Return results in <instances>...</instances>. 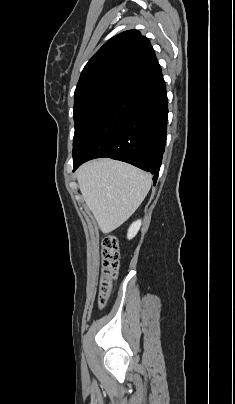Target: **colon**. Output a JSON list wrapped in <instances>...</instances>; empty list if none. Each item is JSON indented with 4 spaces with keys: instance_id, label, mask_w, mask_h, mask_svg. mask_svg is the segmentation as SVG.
<instances>
[{
    "instance_id": "obj_1",
    "label": "colon",
    "mask_w": 235,
    "mask_h": 404,
    "mask_svg": "<svg viewBox=\"0 0 235 404\" xmlns=\"http://www.w3.org/2000/svg\"><path fill=\"white\" fill-rule=\"evenodd\" d=\"M119 269L118 242L114 236H106L102 241V274L99 288V306L108 301Z\"/></svg>"
}]
</instances>
